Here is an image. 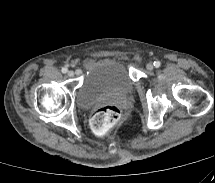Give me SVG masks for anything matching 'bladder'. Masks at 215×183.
Segmentation results:
<instances>
[{
  "label": "bladder",
  "instance_id": "bladder-1",
  "mask_svg": "<svg viewBox=\"0 0 215 183\" xmlns=\"http://www.w3.org/2000/svg\"><path fill=\"white\" fill-rule=\"evenodd\" d=\"M135 83L127 65L114 58L91 59L84 63L76 103L89 108L109 95H127Z\"/></svg>",
  "mask_w": 215,
  "mask_h": 183
}]
</instances>
